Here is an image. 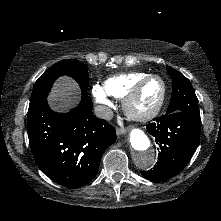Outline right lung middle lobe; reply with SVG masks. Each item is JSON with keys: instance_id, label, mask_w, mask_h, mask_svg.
<instances>
[{"instance_id": "obj_1", "label": "right lung middle lobe", "mask_w": 221, "mask_h": 221, "mask_svg": "<svg viewBox=\"0 0 221 221\" xmlns=\"http://www.w3.org/2000/svg\"><path fill=\"white\" fill-rule=\"evenodd\" d=\"M68 75L74 78L82 92L88 90L89 75L88 67L75 59L62 60L50 67L35 83L30 99L28 114H31L46 97L54 81L62 76Z\"/></svg>"}]
</instances>
